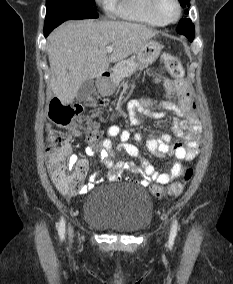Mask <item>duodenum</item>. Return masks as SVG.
Returning <instances> with one entry per match:
<instances>
[{
	"mask_svg": "<svg viewBox=\"0 0 233 284\" xmlns=\"http://www.w3.org/2000/svg\"><path fill=\"white\" fill-rule=\"evenodd\" d=\"M110 77H111V73L109 71H105L101 77V80H102L101 85L105 86L108 80L110 79Z\"/></svg>",
	"mask_w": 233,
	"mask_h": 284,
	"instance_id": "1",
	"label": "duodenum"
}]
</instances>
